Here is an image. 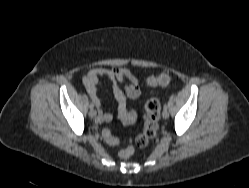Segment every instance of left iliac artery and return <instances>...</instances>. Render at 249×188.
Returning a JSON list of instances; mask_svg holds the SVG:
<instances>
[{
  "mask_svg": "<svg viewBox=\"0 0 249 188\" xmlns=\"http://www.w3.org/2000/svg\"><path fill=\"white\" fill-rule=\"evenodd\" d=\"M167 108H168V107H167V105L165 104V105H164V109H167Z\"/></svg>",
  "mask_w": 249,
  "mask_h": 188,
  "instance_id": "1",
  "label": "left iliac artery"
}]
</instances>
